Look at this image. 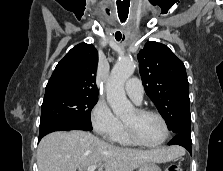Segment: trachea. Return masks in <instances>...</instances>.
I'll return each mask as SVG.
<instances>
[{"mask_svg": "<svg viewBox=\"0 0 223 171\" xmlns=\"http://www.w3.org/2000/svg\"><path fill=\"white\" fill-rule=\"evenodd\" d=\"M115 39H116L117 41H120V40H121V37H116V36H115Z\"/></svg>", "mask_w": 223, "mask_h": 171, "instance_id": "obj_1", "label": "trachea"}]
</instances>
